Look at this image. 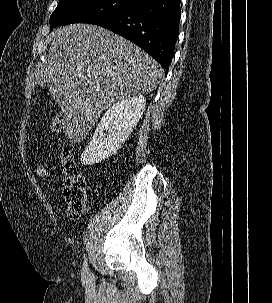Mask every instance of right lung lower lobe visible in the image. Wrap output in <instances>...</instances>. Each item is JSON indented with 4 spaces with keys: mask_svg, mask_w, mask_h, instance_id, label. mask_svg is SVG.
<instances>
[{
    "mask_svg": "<svg viewBox=\"0 0 272 303\" xmlns=\"http://www.w3.org/2000/svg\"><path fill=\"white\" fill-rule=\"evenodd\" d=\"M180 2L143 0L128 10L91 24L132 41L157 60L167 73L179 34Z\"/></svg>",
    "mask_w": 272,
    "mask_h": 303,
    "instance_id": "1",
    "label": "right lung lower lobe"
}]
</instances>
